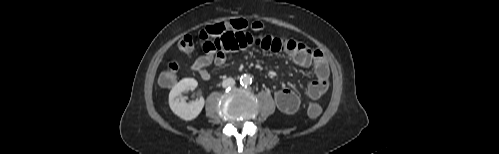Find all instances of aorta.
<instances>
[{
    "mask_svg": "<svg viewBox=\"0 0 499 154\" xmlns=\"http://www.w3.org/2000/svg\"><path fill=\"white\" fill-rule=\"evenodd\" d=\"M251 83H252V78H251V76H250V75H248V74H244V75H242V76L240 77V84H241V85H245V86H247V85H250Z\"/></svg>",
    "mask_w": 499,
    "mask_h": 154,
    "instance_id": "762f6f07",
    "label": "aorta"
}]
</instances>
